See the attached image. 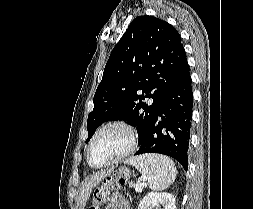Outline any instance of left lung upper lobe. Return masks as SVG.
Instances as JSON below:
<instances>
[{
	"label": "left lung upper lobe",
	"mask_w": 253,
	"mask_h": 209,
	"mask_svg": "<svg viewBox=\"0 0 253 209\" xmlns=\"http://www.w3.org/2000/svg\"><path fill=\"white\" fill-rule=\"evenodd\" d=\"M184 60L181 37L172 25L153 16L135 18L106 63L86 142L102 123L125 120L137 128L142 144Z\"/></svg>",
	"instance_id": "left-lung-upper-lobe-1"
}]
</instances>
